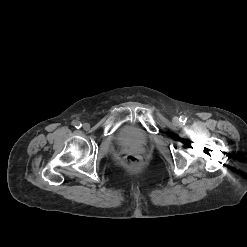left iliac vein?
<instances>
[{
    "mask_svg": "<svg viewBox=\"0 0 247 247\" xmlns=\"http://www.w3.org/2000/svg\"><path fill=\"white\" fill-rule=\"evenodd\" d=\"M173 122H174L175 124H179V118H178V117H174V118H173Z\"/></svg>",
    "mask_w": 247,
    "mask_h": 247,
    "instance_id": "4c4485c4",
    "label": "left iliac vein"
}]
</instances>
